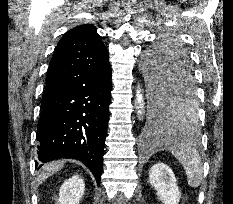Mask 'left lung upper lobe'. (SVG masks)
Wrapping results in <instances>:
<instances>
[{
  "instance_id": "1",
  "label": "left lung upper lobe",
  "mask_w": 233,
  "mask_h": 204,
  "mask_svg": "<svg viewBox=\"0 0 233 204\" xmlns=\"http://www.w3.org/2000/svg\"><path fill=\"white\" fill-rule=\"evenodd\" d=\"M173 53H182L189 57L181 43L172 38L161 39L150 47L144 56V70L147 73L149 97H150V115L157 105L159 93L162 90V82L173 70ZM194 82V78H193ZM166 122L163 130L171 132L181 130L186 132H195L199 126L197 96L182 94L167 105Z\"/></svg>"
}]
</instances>
